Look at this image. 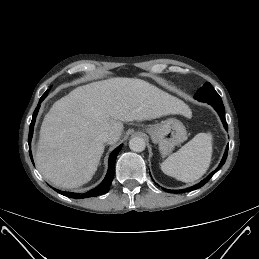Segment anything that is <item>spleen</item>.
Wrapping results in <instances>:
<instances>
[{
	"instance_id": "1",
	"label": "spleen",
	"mask_w": 259,
	"mask_h": 259,
	"mask_svg": "<svg viewBox=\"0 0 259 259\" xmlns=\"http://www.w3.org/2000/svg\"><path fill=\"white\" fill-rule=\"evenodd\" d=\"M212 141L210 132L198 133L162 162L161 170L166 175L186 183L199 179L210 166L213 152Z\"/></svg>"
}]
</instances>
